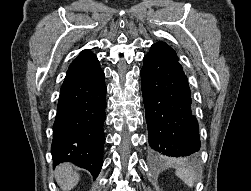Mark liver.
<instances>
[{
    "label": "liver",
    "mask_w": 251,
    "mask_h": 191,
    "mask_svg": "<svg viewBox=\"0 0 251 191\" xmlns=\"http://www.w3.org/2000/svg\"><path fill=\"white\" fill-rule=\"evenodd\" d=\"M79 173L73 169L72 163H60L55 169V179L63 191H69L79 181Z\"/></svg>",
    "instance_id": "liver-1"
}]
</instances>
